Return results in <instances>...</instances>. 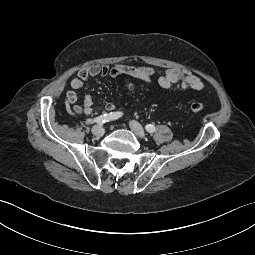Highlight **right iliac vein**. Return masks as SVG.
<instances>
[{
  "label": "right iliac vein",
  "mask_w": 255,
  "mask_h": 255,
  "mask_svg": "<svg viewBox=\"0 0 255 255\" xmlns=\"http://www.w3.org/2000/svg\"><path fill=\"white\" fill-rule=\"evenodd\" d=\"M92 133L96 137H102L104 134V128L101 125L94 126L92 128Z\"/></svg>",
  "instance_id": "right-iliac-vein-1"
}]
</instances>
